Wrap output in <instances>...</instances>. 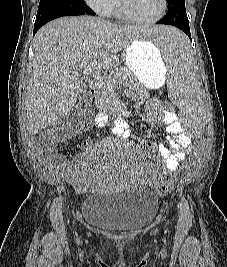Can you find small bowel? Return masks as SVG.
Wrapping results in <instances>:
<instances>
[{
	"label": "small bowel",
	"mask_w": 227,
	"mask_h": 267,
	"mask_svg": "<svg viewBox=\"0 0 227 267\" xmlns=\"http://www.w3.org/2000/svg\"><path fill=\"white\" fill-rule=\"evenodd\" d=\"M148 120L153 124L162 125L167 133V144L154 146L156 155L153 157L154 162L158 163L163 169H177L179 161H182L191 151L194 146L191 137H184L182 125L178 121L176 113H166L161 102L156 98H151L147 101ZM107 122V116L104 113H99L95 117V126L102 128ZM112 129L119 136L129 135V127L126 120L118 118L114 121ZM59 170L67 179L76 183L81 189L86 187V184L91 178L88 166L84 163H70L66 160L59 161Z\"/></svg>",
	"instance_id": "1"
}]
</instances>
